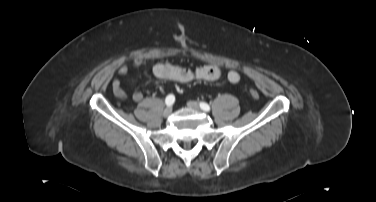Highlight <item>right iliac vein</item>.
<instances>
[{"mask_svg":"<svg viewBox=\"0 0 376 202\" xmlns=\"http://www.w3.org/2000/svg\"><path fill=\"white\" fill-rule=\"evenodd\" d=\"M172 113V107L168 106L164 109L163 111V116L164 117H169Z\"/></svg>","mask_w":376,"mask_h":202,"instance_id":"1","label":"right iliac vein"}]
</instances>
